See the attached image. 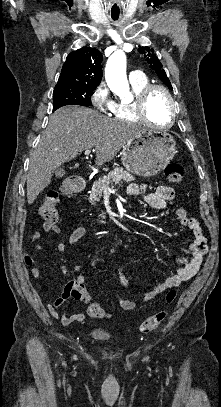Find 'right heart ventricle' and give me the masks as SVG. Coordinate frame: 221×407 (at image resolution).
Wrapping results in <instances>:
<instances>
[{
  "label": "right heart ventricle",
  "mask_w": 221,
  "mask_h": 407,
  "mask_svg": "<svg viewBox=\"0 0 221 407\" xmlns=\"http://www.w3.org/2000/svg\"><path fill=\"white\" fill-rule=\"evenodd\" d=\"M130 85L134 93V98L130 101H118L115 102L112 115L115 119L125 122H138L139 119L135 112V103L138 95L143 89L150 85L148 79L143 77L138 80L131 81Z\"/></svg>",
  "instance_id": "e07e8e85"
}]
</instances>
